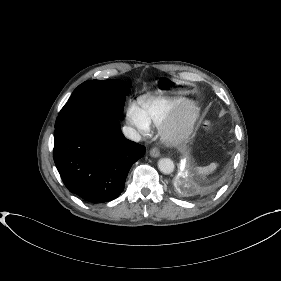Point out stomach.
Instances as JSON below:
<instances>
[{"instance_id": "obj_1", "label": "stomach", "mask_w": 281, "mask_h": 281, "mask_svg": "<svg viewBox=\"0 0 281 281\" xmlns=\"http://www.w3.org/2000/svg\"><path fill=\"white\" fill-rule=\"evenodd\" d=\"M156 86L161 93H180L184 91V83L173 78L161 77L157 80Z\"/></svg>"}]
</instances>
